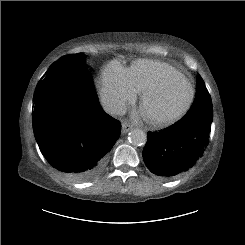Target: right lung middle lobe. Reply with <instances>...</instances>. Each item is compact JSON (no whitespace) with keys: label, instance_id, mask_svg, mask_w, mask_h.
I'll use <instances>...</instances> for the list:
<instances>
[{"label":"right lung middle lobe","instance_id":"obj_1","mask_svg":"<svg viewBox=\"0 0 245 245\" xmlns=\"http://www.w3.org/2000/svg\"><path fill=\"white\" fill-rule=\"evenodd\" d=\"M97 101L85 55L66 58L55 64L40 82L33 119L36 121L61 107Z\"/></svg>","mask_w":245,"mask_h":245}]
</instances>
